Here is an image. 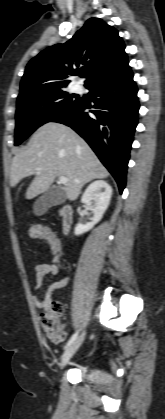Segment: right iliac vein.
<instances>
[{"instance_id": "63e3f726", "label": "right iliac vein", "mask_w": 165, "mask_h": 419, "mask_svg": "<svg viewBox=\"0 0 165 419\" xmlns=\"http://www.w3.org/2000/svg\"><path fill=\"white\" fill-rule=\"evenodd\" d=\"M85 338V333H82L76 340L67 347L65 352L63 353L60 361V368H64L65 365L69 362V360L73 357V355L76 353L78 348L81 346Z\"/></svg>"}]
</instances>
